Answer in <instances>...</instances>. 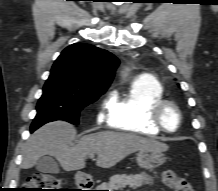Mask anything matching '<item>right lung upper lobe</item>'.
<instances>
[{
  "label": "right lung upper lobe",
  "mask_w": 218,
  "mask_h": 191,
  "mask_svg": "<svg viewBox=\"0 0 218 191\" xmlns=\"http://www.w3.org/2000/svg\"><path fill=\"white\" fill-rule=\"evenodd\" d=\"M118 65V59L110 52L92 45L75 43L62 51L51 73L63 77L78 89L105 92Z\"/></svg>",
  "instance_id": "obj_1"
}]
</instances>
